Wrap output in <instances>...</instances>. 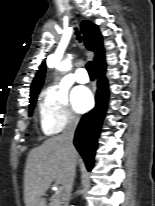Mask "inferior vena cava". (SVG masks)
Listing matches in <instances>:
<instances>
[{
    "label": "inferior vena cava",
    "instance_id": "inferior-vena-cava-1",
    "mask_svg": "<svg viewBox=\"0 0 155 206\" xmlns=\"http://www.w3.org/2000/svg\"><path fill=\"white\" fill-rule=\"evenodd\" d=\"M77 125H78V120L75 117H69L66 127L62 134V139L65 145L66 151L68 152L69 155H72L75 151V148L73 146V138H74V133H75ZM74 176H75V163L71 159L70 175L65 185V191H66L67 197L70 196L72 186H73ZM65 206H67V204Z\"/></svg>",
    "mask_w": 155,
    "mask_h": 206
}]
</instances>
